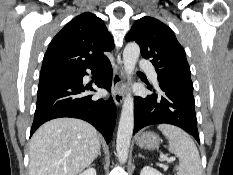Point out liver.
Returning a JSON list of instances; mask_svg holds the SVG:
<instances>
[{"instance_id":"liver-1","label":"liver","mask_w":233,"mask_h":175,"mask_svg":"<svg viewBox=\"0 0 233 175\" xmlns=\"http://www.w3.org/2000/svg\"><path fill=\"white\" fill-rule=\"evenodd\" d=\"M97 130L76 118L44 123L31 138L29 175H77L97 157Z\"/></svg>"}]
</instances>
